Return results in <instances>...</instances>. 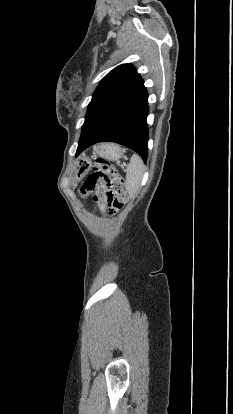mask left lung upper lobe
I'll use <instances>...</instances> for the list:
<instances>
[{"label": "left lung upper lobe", "instance_id": "left-lung-upper-lobe-1", "mask_svg": "<svg viewBox=\"0 0 233 414\" xmlns=\"http://www.w3.org/2000/svg\"><path fill=\"white\" fill-rule=\"evenodd\" d=\"M140 79V75L131 64L117 66L102 79L91 102L124 90Z\"/></svg>", "mask_w": 233, "mask_h": 414}]
</instances>
